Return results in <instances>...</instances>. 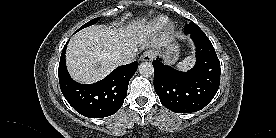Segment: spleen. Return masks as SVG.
Listing matches in <instances>:
<instances>
[{
    "label": "spleen",
    "mask_w": 276,
    "mask_h": 138,
    "mask_svg": "<svg viewBox=\"0 0 276 138\" xmlns=\"http://www.w3.org/2000/svg\"><path fill=\"white\" fill-rule=\"evenodd\" d=\"M193 65V58L187 57L183 61L179 62L177 68L181 71H187Z\"/></svg>",
    "instance_id": "3e777b00"
}]
</instances>
